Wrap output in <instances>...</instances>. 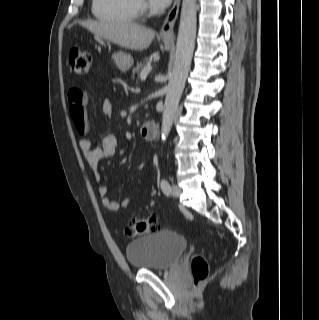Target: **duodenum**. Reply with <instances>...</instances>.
Returning <instances> with one entry per match:
<instances>
[{"label": "duodenum", "mask_w": 319, "mask_h": 320, "mask_svg": "<svg viewBox=\"0 0 319 320\" xmlns=\"http://www.w3.org/2000/svg\"><path fill=\"white\" fill-rule=\"evenodd\" d=\"M158 133L159 129L155 122H145L140 127V134L146 140H155L158 136Z\"/></svg>", "instance_id": "obj_1"}]
</instances>
